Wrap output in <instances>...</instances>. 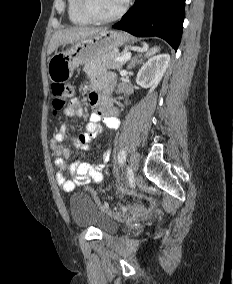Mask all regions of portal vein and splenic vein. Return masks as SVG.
Listing matches in <instances>:
<instances>
[{
	"label": "portal vein and splenic vein",
	"mask_w": 233,
	"mask_h": 284,
	"mask_svg": "<svg viewBox=\"0 0 233 284\" xmlns=\"http://www.w3.org/2000/svg\"><path fill=\"white\" fill-rule=\"evenodd\" d=\"M130 58H131V53L130 52H126L123 55H121L118 58H116V61L125 62V61H128Z\"/></svg>",
	"instance_id": "portal-vein-and-splenic-vein-1"
}]
</instances>
